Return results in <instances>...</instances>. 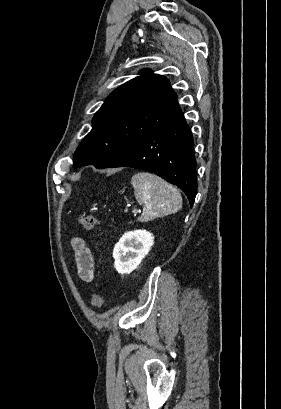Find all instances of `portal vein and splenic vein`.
I'll return each instance as SVG.
<instances>
[{
    "label": "portal vein and splenic vein",
    "mask_w": 281,
    "mask_h": 409,
    "mask_svg": "<svg viewBox=\"0 0 281 409\" xmlns=\"http://www.w3.org/2000/svg\"><path fill=\"white\" fill-rule=\"evenodd\" d=\"M124 213H125V214H128V213H129V210H128V209H125V210H124ZM131 213L141 214V213H143V210H141V209H135V210H131Z\"/></svg>",
    "instance_id": "portal-vein-and-splenic-vein-1"
}]
</instances>
